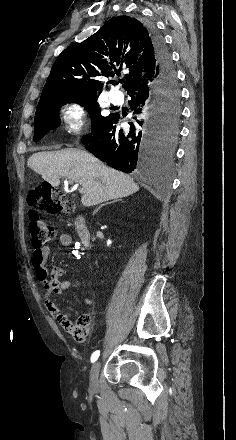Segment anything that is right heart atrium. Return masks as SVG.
<instances>
[{
	"label": "right heart atrium",
	"mask_w": 236,
	"mask_h": 440,
	"mask_svg": "<svg viewBox=\"0 0 236 440\" xmlns=\"http://www.w3.org/2000/svg\"><path fill=\"white\" fill-rule=\"evenodd\" d=\"M63 128L71 133H79L85 126L86 117L83 105L77 101L65 103L60 110Z\"/></svg>",
	"instance_id": "right-heart-atrium-1"
}]
</instances>
